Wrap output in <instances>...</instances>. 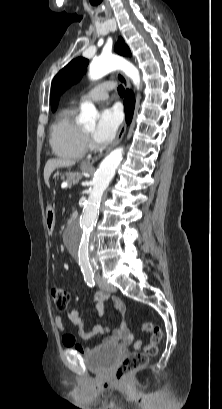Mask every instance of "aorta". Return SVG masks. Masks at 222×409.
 Wrapping results in <instances>:
<instances>
[{
  "label": "aorta",
  "mask_w": 222,
  "mask_h": 409,
  "mask_svg": "<svg viewBox=\"0 0 222 409\" xmlns=\"http://www.w3.org/2000/svg\"><path fill=\"white\" fill-rule=\"evenodd\" d=\"M114 70H122L129 76L135 85H139L140 77L138 70L128 61L114 55H103L92 61L89 68V76L93 80L100 79ZM81 119L84 123L94 124L97 111L92 103H86L81 107ZM123 158V148H117L107 155L100 163L95 175L93 188L84 206L79 221L69 229V249L78 257L79 264L87 269L93 261L94 227L97 221L99 206L102 195Z\"/></svg>",
  "instance_id": "762f6f07"
}]
</instances>
